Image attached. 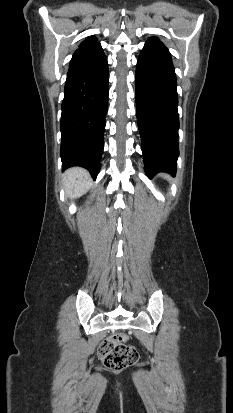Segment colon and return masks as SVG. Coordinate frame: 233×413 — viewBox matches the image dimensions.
I'll return each instance as SVG.
<instances>
[{
  "instance_id": "obj_1",
  "label": "colon",
  "mask_w": 233,
  "mask_h": 413,
  "mask_svg": "<svg viewBox=\"0 0 233 413\" xmlns=\"http://www.w3.org/2000/svg\"><path fill=\"white\" fill-rule=\"evenodd\" d=\"M98 354L111 370H122L138 360L137 350L126 344V336L118 333L104 339L98 347Z\"/></svg>"
}]
</instances>
